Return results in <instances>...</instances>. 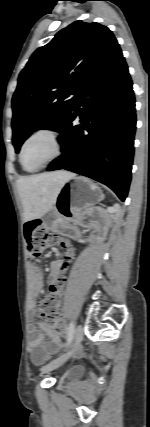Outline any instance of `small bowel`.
Instances as JSON below:
<instances>
[{
    "instance_id": "obj_1",
    "label": "small bowel",
    "mask_w": 150,
    "mask_h": 427,
    "mask_svg": "<svg viewBox=\"0 0 150 427\" xmlns=\"http://www.w3.org/2000/svg\"><path fill=\"white\" fill-rule=\"evenodd\" d=\"M67 259H70L71 251H67ZM67 262L53 261L50 265L49 284L50 287L56 285L60 278H63L61 271L66 267ZM31 283L34 290L38 293L43 291L44 278L41 270L32 265L30 268ZM59 294L62 288L59 289ZM41 332L35 325L30 324L28 327V345L31 353V359L35 364L44 362L48 355L55 352L59 346L61 336L47 327H43Z\"/></svg>"
}]
</instances>
